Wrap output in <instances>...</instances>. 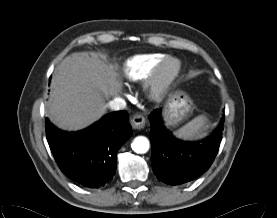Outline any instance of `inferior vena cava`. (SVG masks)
<instances>
[{
    "label": "inferior vena cava",
    "mask_w": 277,
    "mask_h": 218,
    "mask_svg": "<svg viewBox=\"0 0 277 218\" xmlns=\"http://www.w3.org/2000/svg\"><path fill=\"white\" fill-rule=\"evenodd\" d=\"M110 107L115 111L122 110L126 108V102L124 99L116 97L112 101H110Z\"/></svg>",
    "instance_id": "1"
}]
</instances>
